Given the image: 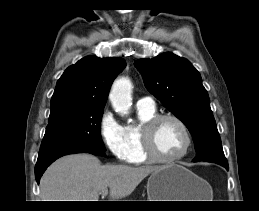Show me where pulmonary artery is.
<instances>
[{"label":"pulmonary artery","mask_w":259,"mask_h":211,"mask_svg":"<svg viewBox=\"0 0 259 211\" xmlns=\"http://www.w3.org/2000/svg\"><path fill=\"white\" fill-rule=\"evenodd\" d=\"M137 106L155 108V102L151 97H142L137 100Z\"/></svg>","instance_id":"pulmonary-artery-1"}]
</instances>
